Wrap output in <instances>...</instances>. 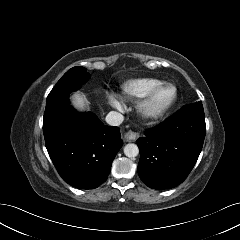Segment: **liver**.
I'll return each mask as SVG.
<instances>
[{
  "label": "liver",
  "instance_id": "6515ba94",
  "mask_svg": "<svg viewBox=\"0 0 240 240\" xmlns=\"http://www.w3.org/2000/svg\"><path fill=\"white\" fill-rule=\"evenodd\" d=\"M73 105L77 108V109H84L86 102L85 99L80 95V94H74L73 96Z\"/></svg>",
  "mask_w": 240,
  "mask_h": 240
}]
</instances>
